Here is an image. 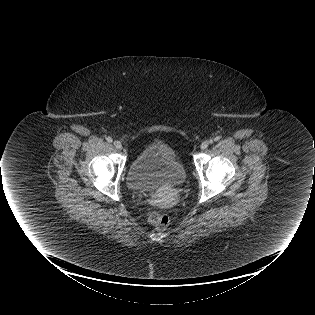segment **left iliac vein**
Instances as JSON below:
<instances>
[{"instance_id":"1","label":"left iliac vein","mask_w":315,"mask_h":315,"mask_svg":"<svg viewBox=\"0 0 315 315\" xmlns=\"http://www.w3.org/2000/svg\"><path fill=\"white\" fill-rule=\"evenodd\" d=\"M209 146V141H203L200 145L201 150H205Z\"/></svg>"}]
</instances>
